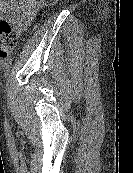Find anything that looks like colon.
<instances>
[{"label": "colon", "mask_w": 133, "mask_h": 173, "mask_svg": "<svg viewBox=\"0 0 133 173\" xmlns=\"http://www.w3.org/2000/svg\"><path fill=\"white\" fill-rule=\"evenodd\" d=\"M57 0H41L44 5H50ZM17 43V36L13 32L10 24L5 20H0V57H8Z\"/></svg>", "instance_id": "5ec220e1"}]
</instances>
